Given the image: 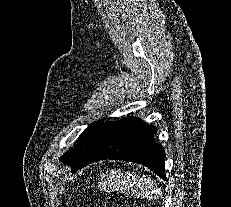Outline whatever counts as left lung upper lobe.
Listing matches in <instances>:
<instances>
[{
	"label": "left lung upper lobe",
	"mask_w": 231,
	"mask_h": 207,
	"mask_svg": "<svg viewBox=\"0 0 231 207\" xmlns=\"http://www.w3.org/2000/svg\"><path fill=\"white\" fill-rule=\"evenodd\" d=\"M103 125L104 120L90 124L79 136L76 146L61 156L60 160L73 169L81 161Z\"/></svg>",
	"instance_id": "5c2ea615"
}]
</instances>
